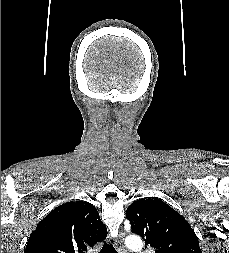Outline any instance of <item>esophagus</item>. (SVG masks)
I'll return each mask as SVG.
<instances>
[{"mask_svg":"<svg viewBox=\"0 0 229 253\" xmlns=\"http://www.w3.org/2000/svg\"><path fill=\"white\" fill-rule=\"evenodd\" d=\"M114 245L118 253H127L124 244H123V235L120 234L114 240Z\"/></svg>","mask_w":229,"mask_h":253,"instance_id":"1","label":"esophagus"}]
</instances>
